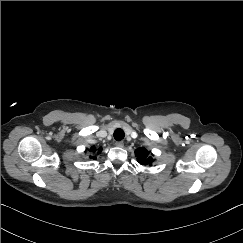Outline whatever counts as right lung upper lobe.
Returning a JSON list of instances; mask_svg holds the SVG:
<instances>
[{"label": "right lung upper lobe", "instance_id": "cb5924a9", "mask_svg": "<svg viewBox=\"0 0 243 243\" xmlns=\"http://www.w3.org/2000/svg\"><path fill=\"white\" fill-rule=\"evenodd\" d=\"M96 150H97V149H96V147H95V146H93V147H91L90 152L95 153V152H96ZM101 150H102V149H101V148H99V149H98L97 154H99V153L101 152ZM89 158H91V159H96V157H95V156H91V155L89 156Z\"/></svg>", "mask_w": 243, "mask_h": 243}]
</instances>
